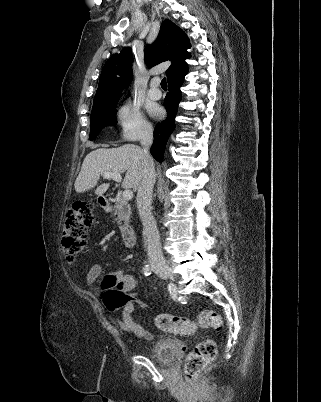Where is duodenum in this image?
Masks as SVG:
<instances>
[{
  "label": "duodenum",
  "instance_id": "obj_1",
  "mask_svg": "<svg viewBox=\"0 0 321 402\" xmlns=\"http://www.w3.org/2000/svg\"><path fill=\"white\" fill-rule=\"evenodd\" d=\"M99 204L105 209H111V202L105 197H99ZM120 235L123 244L127 247H132L136 243V232L128 225H122L120 227Z\"/></svg>",
  "mask_w": 321,
  "mask_h": 402
}]
</instances>
